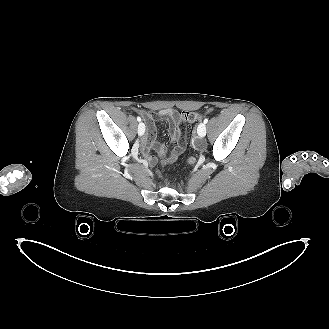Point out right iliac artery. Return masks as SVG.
Returning a JSON list of instances; mask_svg holds the SVG:
<instances>
[{
	"mask_svg": "<svg viewBox=\"0 0 329 329\" xmlns=\"http://www.w3.org/2000/svg\"><path fill=\"white\" fill-rule=\"evenodd\" d=\"M137 121H138V122H140V121H141V118H140L139 116L137 117Z\"/></svg>",
	"mask_w": 329,
	"mask_h": 329,
	"instance_id": "obj_1",
	"label": "right iliac artery"
}]
</instances>
